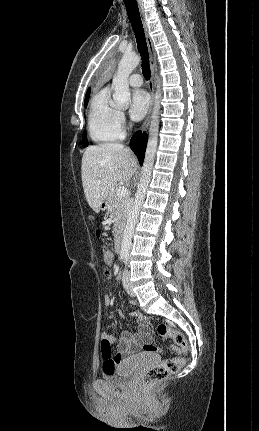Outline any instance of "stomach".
<instances>
[{
  "label": "stomach",
  "instance_id": "1",
  "mask_svg": "<svg viewBox=\"0 0 259 431\" xmlns=\"http://www.w3.org/2000/svg\"><path fill=\"white\" fill-rule=\"evenodd\" d=\"M107 208H108V198L105 199L100 205L101 210H106Z\"/></svg>",
  "mask_w": 259,
  "mask_h": 431
}]
</instances>
